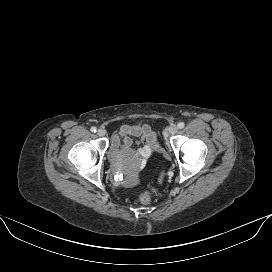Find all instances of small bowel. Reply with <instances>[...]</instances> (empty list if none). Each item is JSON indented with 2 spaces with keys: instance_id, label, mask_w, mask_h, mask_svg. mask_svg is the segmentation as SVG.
<instances>
[{
  "instance_id": "1",
  "label": "small bowel",
  "mask_w": 272,
  "mask_h": 272,
  "mask_svg": "<svg viewBox=\"0 0 272 272\" xmlns=\"http://www.w3.org/2000/svg\"><path fill=\"white\" fill-rule=\"evenodd\" d=\"M138 147H134V144ZM156 144V134L147 125H123L117 134L112 136L110 151L116 154L119 151L130 152L148 158Z\"/></svg>"
}]
</instances>
